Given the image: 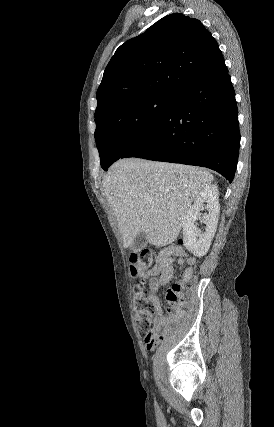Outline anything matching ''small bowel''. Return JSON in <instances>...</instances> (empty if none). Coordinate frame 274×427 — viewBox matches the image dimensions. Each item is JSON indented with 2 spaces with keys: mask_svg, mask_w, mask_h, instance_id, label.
<instances>
[{
  "mask_svg": "<svg viewBox=\"0 0 274 427\" xmlns=\"http://www.w3.org/2000/svg\"><path fill=\"white\" fill-rule=\"evenodd\" d=\"M186 264L187 268L182 274V281H187L193 276V267L196 263L194 255L184 248L176 245L161 249L151 267H144L142 277L147 281V298L153 305V330L149 337L145 336V347L153 350L175 328L183 317V308L180 303L174 304L166 314L158 297L161 287L167 285L173 277L172 264Z\"/></svg>",
  "mask_w": 274,
  "mask_h": 427,
  "instance_id": "small-bowel-1",
  "label": "small bowel"
}]
</instances>
